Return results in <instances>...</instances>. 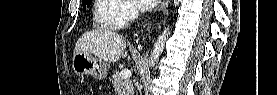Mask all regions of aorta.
Listing matches in <instances>:
<instances>
[{
	"label": "aorta",
	"mask_w": 277,
	"mask_h": 95,
	"mask_svg": "<svg viewBox=\"0 0 277 95\" xmlns=\"http://www.w3.org/2000/svg\"><path fill=\"white\" fill-rule=\"evenodd\" d=\"M169 27L165 28L162 34H160L154 44L153 50L150 55V60H149V66L153 67L155 66L157 60L159 59V56L163 52L165 48V43L167 38L169 37Z\"/></svg>",
	"instance_id": "obj_1"
}]
</instances>
